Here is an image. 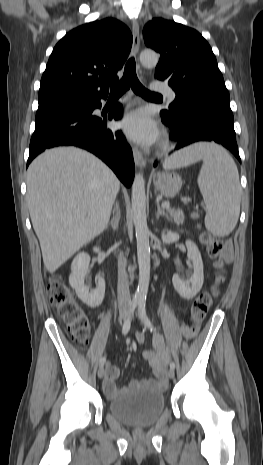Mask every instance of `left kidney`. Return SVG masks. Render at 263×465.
<instances>
[{
  "label": "left kidney",
  "instance_id": "left-kidney-1",
  "mask_svg": "<svg viewBox=\"0 0 263 465\" xmlns=\"http://www.w3.org/2000/svg\"><path fill=\"white\" fill-rule=\"evenodd\" d=\"M179 235L172 231L162 232V241L166 244L176 242ZM188 250V259L192 261L194 273L190 280H182L178 274H174L172 282L175 290L179 295L185 299H191L201 290L204 275H203V262L198 247L191 240L186 241Z\"/></svg>",
  "mask_w": 263,
  "mask_h": 465
}]
</instances>
